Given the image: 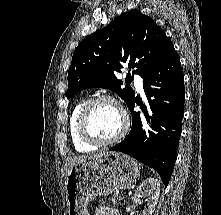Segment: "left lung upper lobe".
<instances>
[{
	"label": "left lung upper lobe",
	"instance_id": "1",
	"mask_svg": "<svg viewBox=\"0 0 221 215\" xmlns=\"http://www.w3.org/2000/svg\"><path fill=\"white\" fill-rule=\"evenodd\" d=\"M171 43L152 18L138 10L122 14L75 48L68 72L67 98H74L86 88L101 87L118 94L129 106L135 92L129 86L121 88L123 82L115 72H120L125 64L129 69L136 68L133 74L143 78Z\"/></svg>",
	"mask_w": 221,
	"mask_h": 215
}]
</instances>
